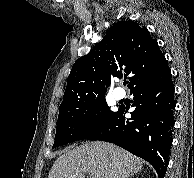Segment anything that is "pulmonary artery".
Masks as SVG:
<instances>
[{
	"mask_svg": "<svg viewBox=\"0 0 194 178\" xmlns=\"http://www.w3.org/2000/svg\"><path fill=\"white\" fill-rule=\"evenodd\" d=\"M113 96H114V98H115L116 100H121V99L124 98L125 92H124V90H122V89H115V90L113 91Z\"/></svg>",
	"mask_w": 194,
	"mask_h": 178,
	"instance_id": "1",
	"label": "pulmonary artery"
}]
</instances>
